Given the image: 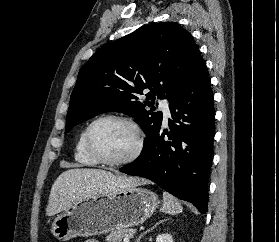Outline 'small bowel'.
<instances>
[{
  "instance_id": "c3829d8e",
  "label": "small bowel",
  "mask_w": 279,
  "mask_h": 242,
  "mask_svg": "<svg viewBox=\"0 0 279 242\" xmlns=\"http://www.w3.org/2000/svg\"><path fill=\"white\" fill-rule=\"evenodd\" d=\"M85 242H98V241L94 239H90V240H86Z\"/></svg>"
}]
</instances>
